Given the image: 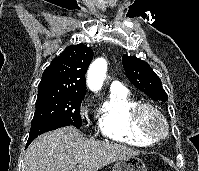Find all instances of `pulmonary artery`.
Returning a JSON list of instances; mask_svg holds the SVG:
<instances>
[{
  "instance_id": "obj_1",
  "label": "pulmonary artery",
  "mask_w": 199,
  "mask_h": 171,
  "mask_svg": "<svg viewBox=\"0 0 199 171\" xmlns=\"http://www.w3.org/2000/svg\"><path fill=\"white\" fill-rule=\"evenodd\" d=\"M124 88L118 81H113L110 85L111 90H118Z\"/></svg>"
}]
</instances>
